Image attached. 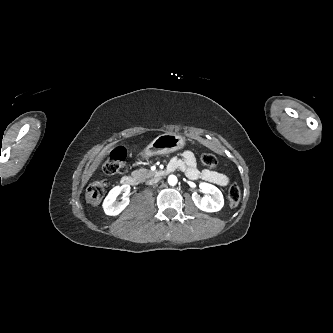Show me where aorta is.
I'll list each match as a JSON object with an SVG mask.
<instances>
[{
	"instance_id": "762f6f07",
	"label": "aorta",
	"mask_w": 333,
	"mask_h": 333,
	"mask_svg": "<svg viewBox=\"0 0 333 333\" xmlns=\"http://www.w3.org/2000/svg\"><path fill=\"white\" fill-rule=\"evenodd\" d=\"M177 182H178V179H177V177L175 175H170L168 177V183H169V185L174 186V185L177 184Z\"/></svg>"
}]
</instances>
